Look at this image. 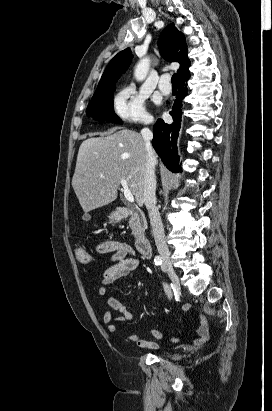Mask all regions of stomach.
I'll use <instances>...</instances> for the list:
<instances>
[{
	"instance_id": "stomach-1",
	"label": "stomach",
	"mask_w": 272,
	"mask_h": 411,
	"mask_svg": "<svg viewBox=\"0 0 272 411\" xmlns=\"http://www.w3.org/2000/svg\"><path fill=\"white\" fill-rule=\"evenodd\" d=\"M110 221H114V219H113V218H110Z\"/></svg>"
}]
</instances>
